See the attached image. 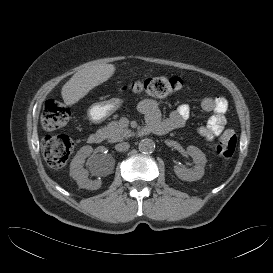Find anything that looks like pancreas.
<instances>
[{
    "mask_svg": "<svg viewBox=\"0 0 273 273\" xmlns=\"http://www.w3.org/2000/svg\"><path fill=\"white\" fill-rule=\"evenodd\" d=\"M108 142L114 143L123 140L131 135V130L125 128L119 121H112L102 128Z\"/></svg>",
    "mask_w": 273,
    "mask_h": 273,
    "instance_id": "pancreas-1",
    "label": "pancreas"
}]
</instances>
